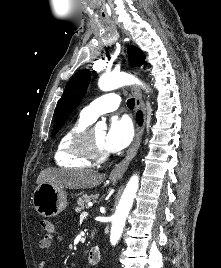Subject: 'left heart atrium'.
I'll use <instances>...</instances> for the list:
<instances>
[{
  "label": "left heart atrium",
  "mask_w": 221,
  "mask_h": 268,
  "mask_svg": "<svg viewBox=\"0 0 221 268\" xmlns=\"http://www.w3.org/2000/svg\"><path fill=\"white\" fill-rule=\"evenodd\" d=\"M133 138V127L127 117L113 118L104 137V149L118 152L126 148Z\"/></svg>",
  "instance_id": "obj_1"
}]
</instances>
